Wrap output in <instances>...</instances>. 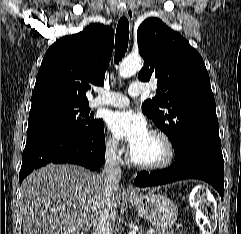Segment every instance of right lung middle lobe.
<instances>
[{
  "mask_svg": "<svg viewBox=\"0 0 241 234\" xmlns=\"http://www.w3.org/2000/svg\"><path fill=\"white\" fill-rule=\"evenodd\" d=\"M103 120L94 119L88 103L48 101L31 106L28 132L47 128H64L86 136L95 133Z\"/></svg>",
  "mask_w": 241,
  "mask_h": 234,
  "instance_id": "dd1d6c3e",
  "label": "right lung middle lobe"
}]
</instances>
